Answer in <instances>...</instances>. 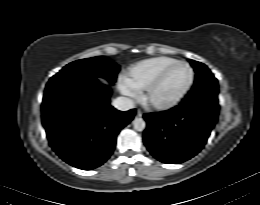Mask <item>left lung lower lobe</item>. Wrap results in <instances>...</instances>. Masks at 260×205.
Instances as JSON below:
<instances>
[{
  "instance_id": "left-lung-lower-lobe-1",
  "label": "left lung lower lobe",
  "mask_w": 260,
  "mask_h": 205,
  "mask_svg": "<svg viewBox=\"0 0 260 205\" xmlns=\"http://www.w3.org/2000/svg\"><path fill=\"white\" fill-rule=\"evenodd\" d=\"M144 143L159 161L178 164L195 156L205 145L218 119V107L183 101L168 111L144 115Z\"/></svg>"
}]
</instances>
